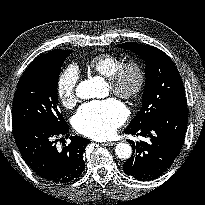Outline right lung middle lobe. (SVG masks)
<instances>
[{
    "label": "right lung middle lobe",
    "mask_w": 205,
    "mask_h": 205,
    "mask_svg": "<svg viewBox=\"0 0 205 205\" xmlns=\"http://www.w3.org/2000/svg\"><path fill=\"white\" fill-rule=\"evenodd\" d=\"M70 53L49 52L30 63L15 92L12 123L34 121L54 127L66 123L57 108V85L61 66Z\"/></svg>",
    "instance_id": "right-lung-middle-lobe-1"
}]
</instances>
